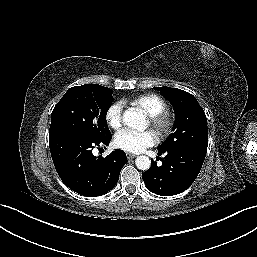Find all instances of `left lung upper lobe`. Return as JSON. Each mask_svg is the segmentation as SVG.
Returning a JSON list of instances; mask_svg holds the SVG:
<instances>
[{
  "instance_id": "5c2ea615",
  "label": "left lung upper lobe",
  "mask_w": 257,
  "mask_h": 257,
  "mask_svg": "<svg viewBox=\"0 0 257 257\" xmlns=\"http://www.w3.org/2000/svg\"><path fill=\"white\" fill-rule=\"evenodd\" d=\"M172 104L175 111L173 133L157 149L169 151L176 149L195 150L206 154L208 129L206 115L196 98L181 89L155 87Z\"/></svg>"
}]
</instances>
